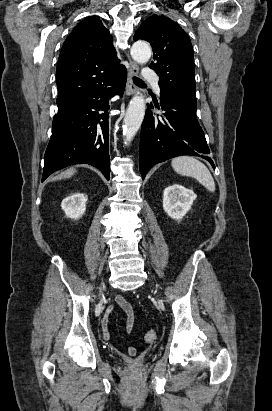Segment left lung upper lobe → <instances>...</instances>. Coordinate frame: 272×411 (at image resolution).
<instances>
[{
  "label": "left lung upper lobe",
  "mask_w": 272,
  "mask_h": 411,
  "mask_svg": "<svg viewBox=\"0 0 272 411\" xmlns=\"http://www.w3.org/2000/svg\"><path fill=\"white\" fill-rule=\"evenodd\" d=\"M138 39L153 48L150 68L160 77L161 92L197 107L193 49L186 32L168 17L154 15L141 24L134 35Z\"/></svg>",
  "instance_id": "1"
}]
</instances>
